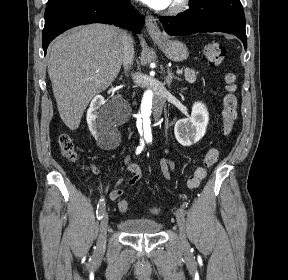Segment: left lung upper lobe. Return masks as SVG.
<instances>
[{
  "label": "left lung upper lobe",
  "mask_w": 288,
  "mask_h": 280,
  "mask_svg": "<svg viewBox=\"0 0 288 280\" xmlns=\"http://www.w3.org/2000/svg\"><path fill=\"white\" fill-rule=\"evenodd\" d=\"M190 7H208L215 11L228 13L245 22L244 10L240 0H191Z\"/></svg>",
  "instance_id": "5c2ea615"
}]
</instances>
